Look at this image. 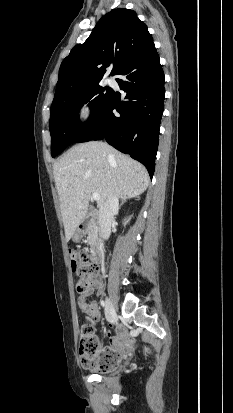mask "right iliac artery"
I'll list each match as a JSON object with an SVG mask.
<instances>
[{
  "label": "right iliac artery",
  "mask_w": 233,
  "mask_h": 413,
  "mask_svg": "<svg viewBox=\"0 0 233 413\" xmlns=\"http://www.w3.org/2000/svg\"><path fill=\"white\" fill-rule=\"evenodd\" d=\"M101 305L104 307L105 306V302L103 300H101Z\"/></svg>",
  "instance_id": "1"
}]
</instances>
